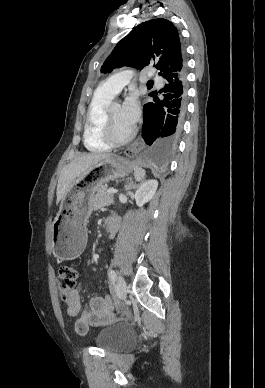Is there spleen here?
Returning <instances> with one entry per match:
<instances>
[{"label":"spleen","instance_id":"obj_1","mask_svg":"<svg viewBox=\"0 0 265 388\" xmlns=\"http://www.w3.org/2000/svg\"><path fill=\"white\" fill-rule=\"evenodd\" d=\"M134 178L136 182H141L145 178V170L139 168V166H134Z\"/></svg>","mask_w":265,"mask_h":388}]
</instances>
